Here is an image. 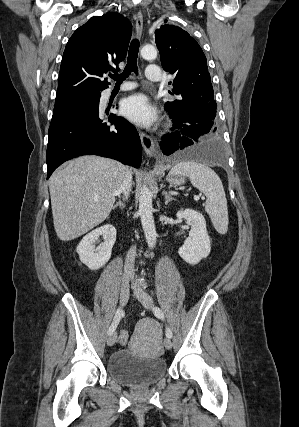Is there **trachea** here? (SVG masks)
Listing matches in <instances>:
<instances>
[{
    "label": "trachea",
    "mask_w": 299,
    "mask_h": 427,
    "mask_svg": "<svg viewBox=\"0 0 299 427\" xmlns=\"http://www.w3.org/2000/svg\"><path fill=\"white\" fill-rule=\"evenodd\" d=\"M139 51V41L137 39L132 40L128 51L127 64L124 71L118 75H111L110 77L116 81L117 84H121L130 74L134 72L138 74L137 57Z\"/></svg>",
    "instance_id": "3493384b"
}]
</instances>
